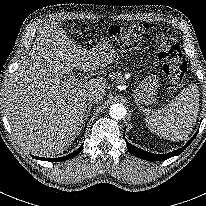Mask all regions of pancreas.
Returning a JSON list of instances; mask_svg holds the SVG:
<instances>
[{
  "label": "pancreas",
  "instance_id": "1",
  "mask_svg": "<svg viewBox=\"0 0 206 206\" xmlns=\"http://www.w3.org/2000/svg\"><path fill=\"white\" fill-rule=\"evenodd\" d=\"M110 78L113 80L115 79L118 82L122 81L123 79L121 72H112V74L110 75Z\"/></svg>",
  "mask_w": 206,
  "mask_h": 206
}]
</instances>
